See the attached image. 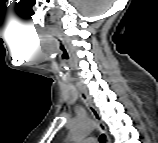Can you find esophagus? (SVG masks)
<instances>
[{"label":"esophagus","mask_w":158,"mask_h":143,"mask_svg":"<svg viewBox=\"0 0 158 143\" xmlns=\"http://www.w3.org/2000/svg\"><path fill=\"white\" fill-rule=\"evenodd\" d=\"M80 92H81V99L83 100L84 104L88 108V110L91 113L93 119L96 121L100 132L105 137V143H108L109 142V136L107 135L106 127H105V125L103 124V122L101 120L100 113L98 112L97 108L93 105V103L88 99V97L83 93V91L80 90Z\"/></svg>","instance_id":"34e87169"}]
</instances>
